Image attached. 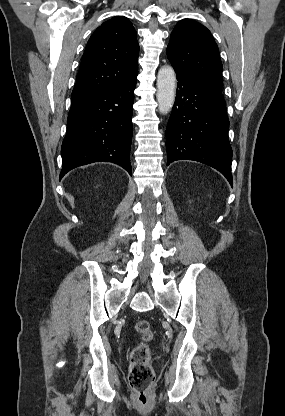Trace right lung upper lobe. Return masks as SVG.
<instances>
[{
    "mask_svg": "<svg viewBox=\"0 0 285 416\" xmlns=\"http://www.w3.org/2000/svg\"><path fill=\"white\" fill-rule=\"evenodd\" d=\"M139 45L132 23L115 16L99 26L83 54L72 103L101 95L138 74Z\"/></svg>",
    "mask_w": 285,
    "mask_h": 416,
    "instance_id": "right-lung-upper-lobe-1",
    "label": "right lung upper lobe"
}]
</instances>
